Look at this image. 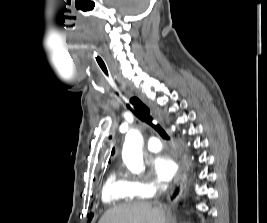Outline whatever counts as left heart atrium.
I'll use <instances>...</instances> for the list:
<instances>
[{"instance_id":"39dd6f15","label":"left heart atrium","mask_w":267,"mask_h":223,"mask_svg":"<svg viewBox=\"0 0 267 223\" xmlns=\"http://www.w3.org/2000/svg\"><path fill=\"white\" fill-rule=\"evenodd\" d=\"M152 169L156 178L161 182L169 181L177 170V164L172 156L162 154L152 161Z\"/></svg>"}]
</instances>
